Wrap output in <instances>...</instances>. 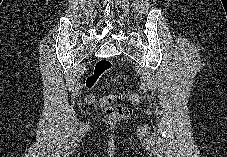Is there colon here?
<instances>
[{
    "instance_id": "1",
    "label": "colon",
    "mask_w": 227,
    "mask_h": 157,
    "mask_svg": "<svg viewBox=\"0 0 227 157\" xmlns=\"http://www.w3.org/2000/svg\"><path fill=\"white\" fill-rule=\"evenodd\" d=\"M113 68L114 65L109 60L102 59L98 61L94 68V72L86 80V87L89 89L93 88L101 76L111 71ZM121 98L127 99L133 104H138L140 101L139 95L133 91L108 94L99 100H97L92 94L87 97L90 103H95L105 108L106 115L109 118H128L132 115L133 110L130 107L115 104V102Z\"/></svg>"
}]
</instances>
